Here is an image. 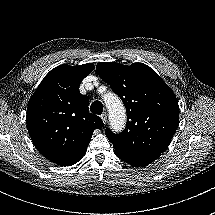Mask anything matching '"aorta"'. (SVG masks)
<instances>
[{"mask_svg": "<svg viewBox=\"0 0 215 215\" xmlns=\"http://www.w3.org/2000/svg\"><path fill=\"white\" fill-rule=\"evenodd\" d=\"M105 103L111 118L115 119L116 129L119 128V125L124 126L126 123V110L121 99L118 96L109 95ZM116 116H118V119H116Z\"/></svg>", "mask_w": 215, "mask_h": 215, "instance_id": "1", "label": "aorta"}]
</instances>
